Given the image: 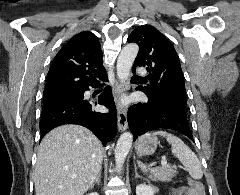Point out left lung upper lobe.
Masks as SVG:
<instances>
[{
    "label": "left lung upper lobe",
    "mask_w": 240,
    "mask_h": 195,
    "mask_svg": "<svg viewBox=\"0 0 240 195\" xmlns=\"http://www.w3.org/2000/svg\"><path fill=\"white\" fill-rule=\"evenodd\" d=\"M127 41L139 46L132 72L147 66L149 84L140 87L148 99L175 103L186 109V90L179 58L174 46L153 26L137 27Z\"/></svg>",
    "instance_id": "1"
}]
</instances>
